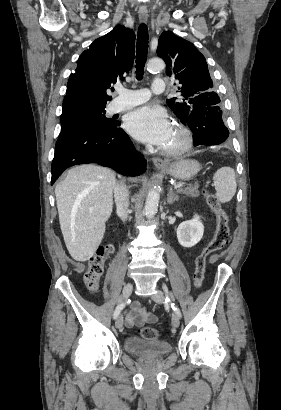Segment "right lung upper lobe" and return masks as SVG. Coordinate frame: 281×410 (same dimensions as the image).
Returning <instances> with one entry per match:
<instances>
[{"label":"right lung upper lobe","mask_w":281,"mask_h":410,"mask_svg":"<svg viewBox=\"0 0 281 410\" xmlns=\"http://www.w3.org/2000/svg\"><path fill=\"white\" fill-rule=\"evenodd\" d=\"M135 35L121 25L96 39L77 61L75 73L67 83L63 107L74 104L106 105V91L112 83L124 80L132 68Z\"/></svg>","instance_id":"cb5924a9"}]
</instances>
